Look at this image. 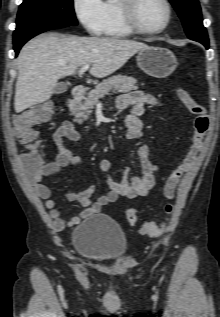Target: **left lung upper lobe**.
<instances>
[{
  "label": "left lung upper lobe",
  "mask_w": 220,
  "mask_h": 317,
  "mask_svg": "<svg viewBox=\"0 0 220 317\" xmlns=\"http://www.w3.org/2000/svg\"><path fill=\"white\" fill-rule=\"evenodd\" d=\"M170 2L179 14L188 37L207 40L198 0H170Z\"/></svg>",
  "instance_id": "obj_1"
}]
</instances>
